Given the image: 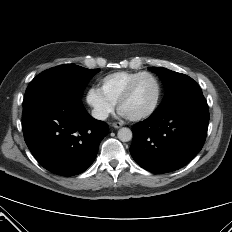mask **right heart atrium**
<instances>
[{
	"mask_svg": "<svg viewBox=\"0 0 232 232\" xmlns=\"http://www.w3.org/2000/svg\"><path fill=\"white\" fill-rule=\"evenodd\" d=\"M86 102L91 108L93 116L100 121L106 120L114 111V104L108 101L96 87L88 89Z\"/></svg>",
	"mask_w": 232,
	"mask_h": 232,
	"instance_id": "obj_1",
	"label": "right heart atrium"
}]
</instances>
